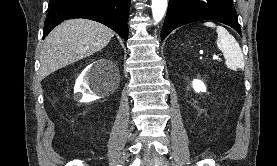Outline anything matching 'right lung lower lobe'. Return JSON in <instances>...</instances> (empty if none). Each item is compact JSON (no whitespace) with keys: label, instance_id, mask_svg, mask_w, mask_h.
I'll return each mask as SVG.
<instances>
[{"label":"right lung lower lobe","instance_id":"98d812e1","mask_svg":"<svg viewBox=\"0 0 277 166\" xmlns=\"http://www.w3.org/2000/svg\"><path fill=\"white\" fill-rule=\"evenodd\" d=\"M129 8L130 0H50L43 38L66 19L84 18L107 25L127 41Z\"/></svg>","mask_w":277,"mask_h":166}]
</instances>
